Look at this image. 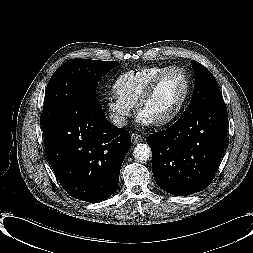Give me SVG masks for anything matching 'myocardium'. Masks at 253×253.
<instances>
[{
  "mask_svg": "<svg viewBox=\"0 0 253 253\" xmlns=\"http://www.w3.org/2000/svg\"><path fill=\"white\" fill-rule=\"evenodd\" d=\"M172 72H179L182 74V76L184 78L185 89H184L183 95L172 112H170L169 114H167L159 119L152 120V121H146L148 124H150L152 126L160 127V126H164V125L174 121L181 114V112L183 111V109L186 105V102L188 100V97L190 94L191 83H190V78H189L187 72L182 67H177V66L169 67L165 71L158 74L144 90L143 94L141 95V97L139 98V100L137 102V116L143 120V118H142L143 109L146 107V105L152 99L153 95L156 92L157 87L159 86V84L163 80V78Z\"/></svg>",
  "mask_w": 253,
  "mask_h": 253,
  "instance_id": "myocardium-1",
  "label": "myocardium"
}]
</instances>
